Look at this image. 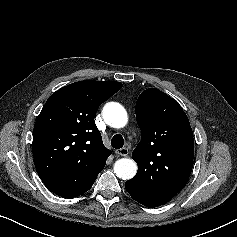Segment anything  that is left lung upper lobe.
<instances>
[{
	"instance_id": "left-lung-upper-lobe-1",
	"label": "left lung upper lobe",
	"mask_w": 237,
	"mask_h": 237,
	"mask_svg": "<svg viewBox=\"0 0 237 237\" xmlns=\"http://www.w3.org/2000/svg\"><path fill=\"white\" fill-rule=\"evenodd\" d=\"M141 141L132 153L138 164L128 192L142 205L155 208L170 201L186 184L194 158L193 132L179 103L156 88L136 103Z\"/></svg>"
}]
</instances>
